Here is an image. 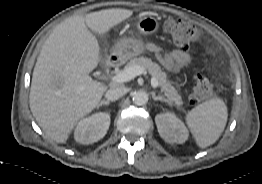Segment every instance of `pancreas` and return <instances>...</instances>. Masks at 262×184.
I'll use <instances>...</instances> for the list:
<instances>
[{"instance_id":"obj_1","label":"pancreas","mask_w":262,"mask_h":184,"mask_svg":"<svg viewBox=\"0 0 262 184\" xmlns=\"http://www.w3.org/2000/svg\"><path fill=\"white\" fill-rule=\"evenodd\" d=\"M131 66H140L144 70H147L148 73L158 81L161 91L165 94L170 103L182 106L183 102L181 95L178 94L177 90L172 85V82L168 80L167 74L161 70L157 63H154L151 59L142 56L131 59L124 69Z\"/></svg>"}]
</instances>
